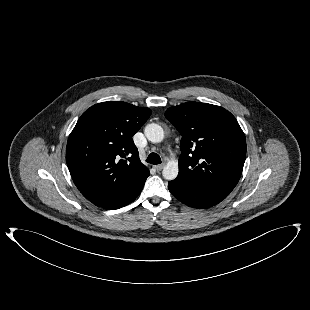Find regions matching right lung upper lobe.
Listing matches in <instances>:
<instances>
[{
    "label": "right lung upper lobe",
    "mask_w": 310,
    "mask_h": 310,
    "mask_svg": "<svg viewBox=\"0 0 310 310\" xmlns=\"http://www.w3.org/2000/svg\"><path fill=\"white\" fill-rule=\"evenodd\" d=\"M151 110L126 102L93 105L79 118L66 148V162L79 191L96 206L135 196L149 176L132 136Z\"/></svg>",
    "instance_id": "1"
}]
</instances>
